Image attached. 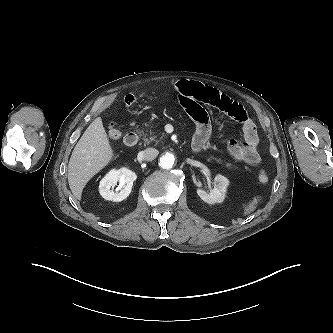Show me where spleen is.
Returning a JSON list of instances; mask_svg holds the SVG:
<instances>
[{"mask_svg": "<svg viewBox=\"0 0 333 333\" xmlns=\"http://www.w3.org/2000/svg\"><path fill=\"white\" fill-rule=\"evenodd\" d=\"M255 202L249 204V206L245 209V214H249L250 212L255 210Z\"/></svg>", "mask_w": 333, "mask_h": 333, "instance_id": "1", "label": "spleen"}]
</instances>
